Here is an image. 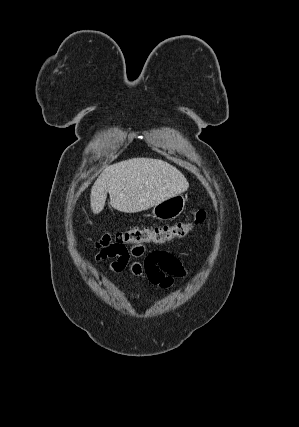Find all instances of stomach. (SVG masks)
Here are the masks:
<instances>
[{
  "label": "stomach",
  "mask_w": 299,
  "mask_h": 427,
  "mask_svg": "<svg viewBox=\"0 0 299 427\" xmlns=\"http://www.w3.org/2000/svg\"><path fill=\"white\" fill-rule=\"evenodd\" d=\"M185 204V197L182 194H178L154 205L152 215L160 221L173 220L183 212Z\"/></svg>",
  "instance_id": "obj_1"
}]
</instances>
